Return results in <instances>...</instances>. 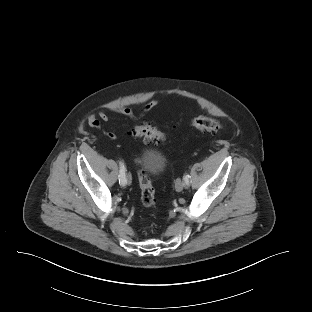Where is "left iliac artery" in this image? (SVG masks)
<instances>
[{
  "label": "left iliac artery",
  "mask_w": 312,
  "mask_h": 312,
  "mask_svg": "<svg viewBox=\"0 0 312 312\" xmlns=\"http://www.w3.org/2000/svg\"><path fill=\"white\" fill-rule=\"evenodd\" d=\"M189 178H190V176H189L188 174H185V175L183 176V180L185 181L186 184L189 183Z\"/></svg>",
  "instance_id": "1"
}]
</instances>
